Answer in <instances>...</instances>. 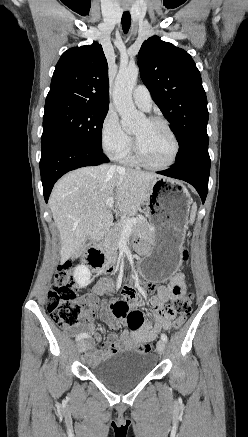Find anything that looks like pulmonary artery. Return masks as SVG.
Listing matches in <instances>:
<instances>
[{
    "label": "pulmonary artery",
    "mask_w": 248,
    "mask_h": 437,
    "mask_svg": "<svg viewBox=\"0 0 248 437\" xmlns=\"http://www.w3.org/2000/svg\"><path fill=\"white\" fill-rule=\"evenodd\" d=\"M132 97L135 104L143 109L149 111L152 106V98L149 90L144 85H138L132 92Z\"/></svg>",
    "instance_id": "1"
}]
</instances>
